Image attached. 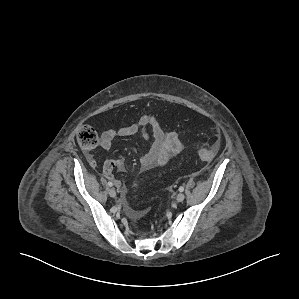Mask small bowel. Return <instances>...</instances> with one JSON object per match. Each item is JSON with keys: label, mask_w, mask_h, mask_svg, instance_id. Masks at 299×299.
<instances>
[{"label": "small bowel", "mask_w": 299, "mask_h": 299, "mask_svg": "<svg viewBox=\"0 0 299 299\" xmlns=\"http://www.w3.org/2000/svg\"><path fill=\"white\" fill-rule=\"evenodd\" d=\"M148 128L151 129V132L148 131ZM135 134H140L146 142L150 143L147 152L140 159L143 170L161 167L183 150V145L177 133L165 132L156 119L151 116H143L135 124L103 131L100 136V147L104 150H109L116 137H126ZM90 163L92 166L96 165L94 159H91ZM114 169L123 170L122 162L116 159L106 160L103 165L105 177L111 179L121 191H124L121 181L113 175ZM133 215L139 216L140 212H134Z\"/></svg>", "instance_id": "c3829d8e"}]
</instances>
